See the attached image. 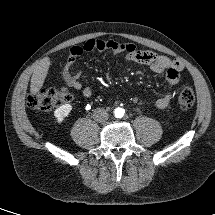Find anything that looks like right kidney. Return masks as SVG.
Listing matches in <instances>:
<instances>
[{"instance_id": "1", "label": "right kidney", "mask_w": 215, "mask_h": 215, "mask_svg": "<svg viewBox=\"0 0 215 215\" xmlns=\"http://www.w3.org/2000/svg\"><path fill=\"white\" fill-rule=\"evenodd\" d=\"M72 110V106L70 104H64L61 105L60 107H58L55 111H54V116L57 120V123H62L64 121V119L69 115V113Z\"/></svg>"}]
</instances>
